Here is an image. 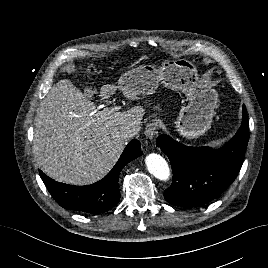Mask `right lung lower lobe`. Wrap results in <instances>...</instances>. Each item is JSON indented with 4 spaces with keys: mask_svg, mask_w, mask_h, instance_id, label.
Masks as SVG:
<instances>
[{
    "mask_svg": "<svg viewBox=\"0 0 268 268\" xmlns=\"http://www.w3.org/2000/svg\"><path fill=\"white\" fill-rule=\"evenodd\" d=\"M142 155L138 140H132L113 169L100 181L87 186L59 183L39 171L48 191L63 208L82 213L99 214L112 209L120 200L118 177L130 161Z\"/></svg>",
    "mask_w": 268,
    "mask_h": 268,
    "instance_id": "98d812e1",
    "label": "right lung lower lobe"
}]
</instances>
